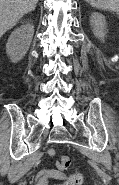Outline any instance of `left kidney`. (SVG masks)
<instances>
[{
    "label": "left kidney",
    "instance_id": "obj_1",
    "mask_svg": "<svg viewBox=\"0 0 119 185\" xmlns=\"http://www.w3.org/2000/svg\"><path fill=\"white\" fill-rule=\"evenodd\" d=\"M90 23L93 28L94 35L104 42L106 31V20L101 13H92Z\"/></svg>",
    "mask_w": 119,
    "mask_h": 185
}]
</instances>
